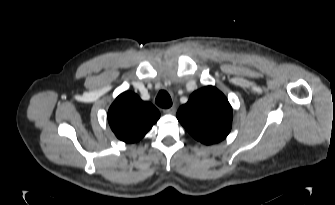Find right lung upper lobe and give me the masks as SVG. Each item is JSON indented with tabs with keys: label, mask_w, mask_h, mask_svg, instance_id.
<instances>
[{
	"label": "right lung upper lobe",
	"mask_w": 335,
	"mask_h": 205,
	"mask_svg": "<svg viewBox=\"0 0 335 205\" xmlns=\"http://www.w3.org/2000/svg\"><path fill=\"white\" fill-rule=\"evenodd\" d=\"M160 117L159 111L133 92L120 94L108 110V122L116 137L126 143L140 140Z\"/></svg>",
	"instance_id": "right-lung-upper-lobe-1"
}]
</instances>
